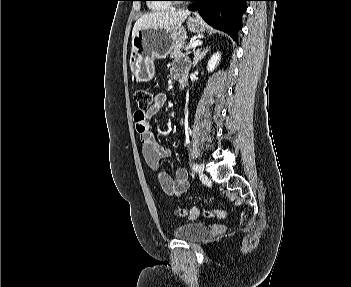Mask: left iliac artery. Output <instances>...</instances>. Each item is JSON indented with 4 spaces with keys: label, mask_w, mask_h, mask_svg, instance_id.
<instances>
[{
    "label": "left iliac artery",
    "mask_w": 351,
    "mask_h": 287,
    "mask_svg": "<svg viewBox=\"0 0 351 287\" xmlns=\"http://www.w3.org/2000/svg\"><path fill=\"white\" fill-rule=\"evenodd\" d=\"M198 169V164L197 163H194L192 165V170L196 171Z\"/></svg>",
    "instance_id": "obj_1"
}]
</instances>
